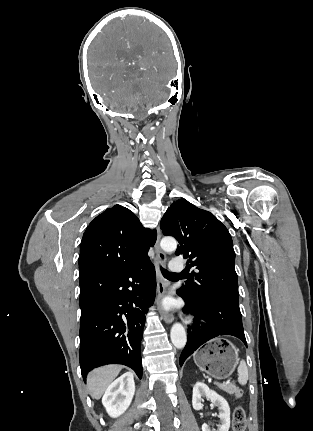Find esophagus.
I'll use <instances>...</instances> for the list:
<instances>
[{"instance_id": "obj_1", "label": "esophagus", "mask_w": 313, "mask_h": 431, "mask_svg": "<svg viewBox=\"0 0 313 431\" xmlns=\"http://www.w3.org/2000/svg\"><path fill=\"white\" fill-rule=\"evenodd\" d=\"M160 238H161V231H160V228L158 227L157 239L154 245L155 253H156L155 269H156V277H157V307L162 319L169 324V323H172L173 321V315L171 313L165 312L161 305V300L166 292L167 283L164 277L162 276V273L160 270V267L164 266L166 263V255L160 248V244H159Z\"/></svg>"}]
</instances>
